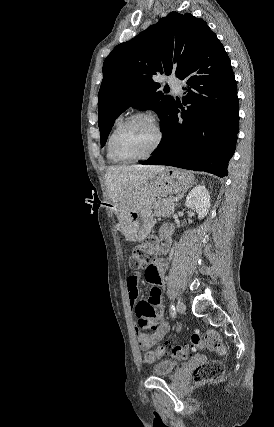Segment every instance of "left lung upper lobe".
Here are the masks:
<instances>
[{
	"label": "left lung upper lobe",
	"instance_id": "left-lung-upper-lobe-1",
	"mask_svg": "<svg viewBox=\"0 0 274 427\" xmlns=\"http://www.w3.org/2000/svg\"><path fill=\"white\" fill-rule=\"evenodd\" d=\"M216 35L190 13L171 12L135 38L116 46L103 64L98 93V125L103 147L115 119L130 106L151 109L160 117L161 131L174 99L157 91L154 75L180 78Z\"/></svg>",
	"mask_w": 274,
	"mask_h": 427
}]
</instances>
